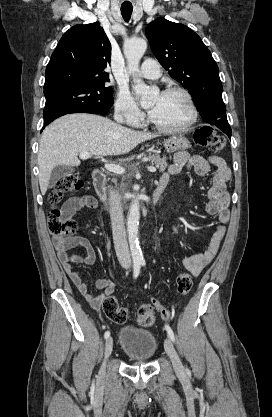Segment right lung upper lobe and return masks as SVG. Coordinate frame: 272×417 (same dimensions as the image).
<instances>
[{
	"instance_id": "cb5924a9",
	"label": "right lung upper lobe",
	"mask_w": 272,
	"mask_h": 417,
	"mask_svg": "<svg viewBox=\"0 0 272 417\" xmlns=\"http://www.w3.org/2000/svg\"><path fill=\"white\" fill-rule=\"evenodd\" d=\"M111 44L98 23L75 25L60 39L45 73L44 91L59 87L104 85Z\"/></svg>"
}]
</instances>
